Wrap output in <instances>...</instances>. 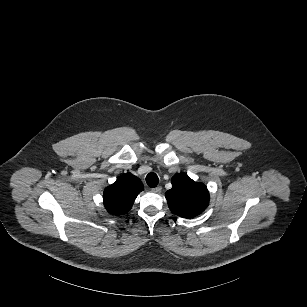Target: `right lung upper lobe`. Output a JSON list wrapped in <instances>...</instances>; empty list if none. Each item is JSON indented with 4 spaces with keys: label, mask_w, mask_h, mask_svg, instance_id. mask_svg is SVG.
I'll use <instances>...</instances> for the list:
<instances>
[{
    "label": "right lung upper lobe",
    "mask_w": 307,
    "mask_h": 307,
    "mask_svg": "<svg viewBox=\"0 0 307 307\" xmlns=\"http://www.w3.org/2000/svg\"><path fill=\"white\" fill-rule=\"evenodd\" d=\"M143 189L139 178L130 173L124 174L105 189V208L113 215L125 214L132 208L134 200Z\"/></svg>",
    "instance_id": "right-lung-upper-lobe-1"
}]
</instances>
